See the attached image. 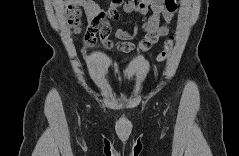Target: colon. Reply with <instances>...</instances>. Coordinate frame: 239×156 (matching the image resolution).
Here are the masks:
<instances>
[{
    "label": "colon",
    "instance_id": "obj_1",
    "mask_svg": "<svg viewBox=\"0 0 239 156\" xmlns=\"http://www.w3.org/2000/svg\"><path fill=\"white\" fill-rule=\"evenodd\" d=\"M66 15L68 17L69 25L74 29V31L80 32L82 28L80 8L75 4H70L66 8ZM110 15L112 14L101 12L98 14L97 19L105 20ZM97 30H98V27L94 23L88 24L87 34H89L91 37H93L94 33H96ZM173 43H174V37L170 36V38L165 42L162 51L157 56L158 62L164 61L169 56Z\"/></svg>",
    "mask_w": 239,
    "mask_h": 156
}]
</instances>
